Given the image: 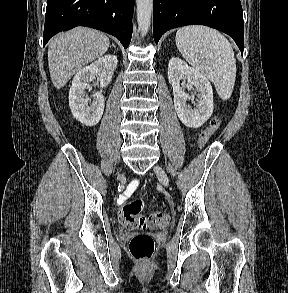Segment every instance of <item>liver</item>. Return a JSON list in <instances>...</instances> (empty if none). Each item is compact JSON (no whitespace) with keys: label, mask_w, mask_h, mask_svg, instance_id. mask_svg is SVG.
I'll list each match as a JSON object with an SVG mask.
<instances>
[{"label":"liver","mask_w":288,"mask_h":293,"mask_svg":"<svg viewBox=\"0 0 288 293\" xmlns=\"http://www.w3.org/2000/svg\"><path fill=\"white\" fill-rule=\"evenodd\" d=\"M109 46L105 34L86 27L56 35L48 46V66L54 87H63L85 65L103 56Z\"/></svg>","instance_id":"obj_1"}]
</instances>
